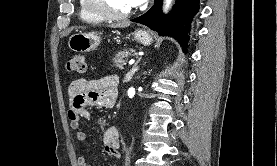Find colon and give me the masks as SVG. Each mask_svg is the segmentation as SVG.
Masks as SVG:
<instances>
[{
  "label": "colon",
  "instance_id": "colon-1",
  "mask_svg": "<svg viewBox=\"0 0 277 166\" xmlns=\"http://www.w3.org/2000/svg\"><path fill=\"white\" fill-rule=\"evenodd\" d=\"M66 69L72 73H83L86 70L85 58L82 54H75L71 56L67 63Z\"/></svg>",
  "mask_w": 277,
  "mask_h": 166
}]
</instances>
